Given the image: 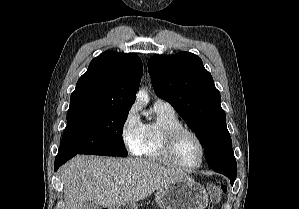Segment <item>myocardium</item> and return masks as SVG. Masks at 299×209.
Instances as JSON below:
<instances>
[{
  "label": "myocardium",
  "instance_id": "myocardium-1",
  "mask_svg": "<svg viewBox=\"0 0 299 209\" xmlns=\"http://www.w3.org/2000/svg\"><path fill=\"white\" fill-rule=\"evenodd\" d=\"M184 134H188L194 137L200 146L201 158L199 163L196 164L195 166H185L181 164L176 158L177 142L179 138ZM163 154L168 164H170L171 166L184 171H193L200 168L203 165L206 157V147L201 137L195 131L182 126V127L170 129L164 133Z\"/></svg>",
  "mask_w": 299,
  "mask_h": 209
}]
</instances>
